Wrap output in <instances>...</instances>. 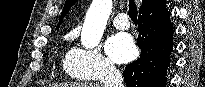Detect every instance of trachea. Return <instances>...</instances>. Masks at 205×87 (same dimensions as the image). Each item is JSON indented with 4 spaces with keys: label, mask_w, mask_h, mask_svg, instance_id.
Wrapping results in <instances>:
<instances>
[{
    "label": "trachea",
    "mask_w": 205,
    "mask_h": 87,
    "mask_svg": "<svg viewBox=\"0 0 205 87\" xmlns=\"http://www.w3.org/2000/svg\"><path fill=\"white\" fill-rule=\"evenodd\" d=\"M129 17L131 18V20L133 22H137L138 18H137V7L136 4L134 2V0H129Z\"/></svg>",
    "instance_id": "1"
}]
</instances>
